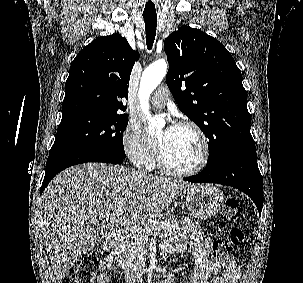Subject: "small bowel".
Wrapping results in <instances>:
<instances>
[{
    "instance_id": "c3829d8e",
    "label": "small bowel",
    "mask_w": 303,
    "mask_h": 283,
    "mask_svg": "<svg viewBox=\"0 0 303 283\" xmlns=\"http://www.w3.org/2000/svg\"><path fill=\"white\" fill-rule=\"evenodd\" d=\"M187 249L192 252L198 272L189 276L184 283H238L242 272L236 261L228 255H215L213 241L204 236L198 224L184 218L179 230L161 245V256L164 258L171 253H183ZM113 264L111 256L101 260L98 283L111 282L107 272ZM161 283H175L174 276L166 274Z\"/></svg>"
}]
</instances>
